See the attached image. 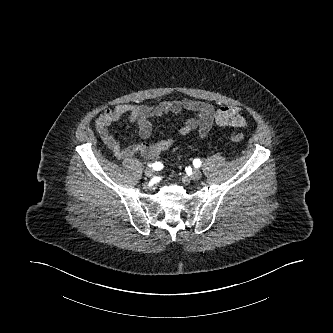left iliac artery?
<instances>
[{
	"label": "left iliac artery",
	"mask_w": 333,
	"mask_h": 333,
	"mask_svg": "<svg viewBox=\"0 0 333 333\" xmlns=\"http://www.w3.org/2000/svg\"><path fill=\"white\" fill-rule=\"evenodd\" d=\"M193 165L196 167V168H199L201 166V160L196 158L194 159L193 161Z\"/></svg>",
	"instance_id": "left-iliac-artery-1"
}]
</instances>
